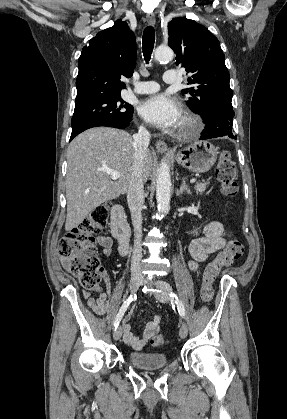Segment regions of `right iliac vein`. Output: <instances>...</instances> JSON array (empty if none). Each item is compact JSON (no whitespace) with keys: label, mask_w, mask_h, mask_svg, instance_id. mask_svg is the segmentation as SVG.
I'll return each mask as SVG.
<instances>
[{"label":"right iliac vein","mask_w":287,"mask_h":419,"mask_svg":"<svg viewBox=\"0 0 287 419\" xmlns=\"http://www.w3.org/2000/svg\"><path fill=\"white\" fill-rule=\"evenodd\" d=\"M141 283H142V278H140L138 276H132L131 279H130V283H129L130 291L132 293H134L139 288ZM121 336H122V327L119 326L114 331L113 338H114V340H119L121 338Z\"/></svg>","instance_id":"right-iliac-vein-1"}]
</instances>
